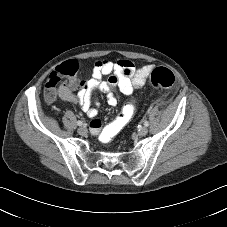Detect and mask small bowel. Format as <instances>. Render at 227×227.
<instances>
[{"label": "small bowel", "instance_id": "c3829d8e", "mask_svg": "<svg viewBox=\"0 0 227 227\" xmlns=\"http://www.w3.org/2000/svg\"><path fill=\"white\" fill-rule=\"evenodd\" d=\"M152 69V65L137 68L126 59L118 61L101 59L93 64L92 74L88 79L73 87H61L59 92L64 100L78 104L88 117L95 118L98 112L92 107V101L97 93H105L109 105L115 106L118 102L115 92L118 90L125 95H131L134 90L144 86ZM106 75L108 78L104 80L103 77ZM74 89H76L75 94ZM110 125H104L95 119L91 122L90 130L92 134H101Z\"/></svg>", "mask_w": 227, "mask_h": 227}]
</instances>
